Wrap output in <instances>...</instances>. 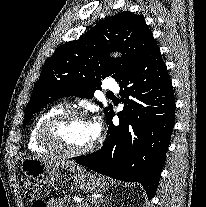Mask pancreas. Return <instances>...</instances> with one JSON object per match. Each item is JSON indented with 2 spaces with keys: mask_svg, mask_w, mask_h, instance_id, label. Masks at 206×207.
<instances>
[{
  "mask_svg": "<svg viewBox=\"0 0 206 207\" xmlns=\"http://www.w3.org/2000/svg\"><path fill=\"white\" fill-rule=\"evenodd\" d=\"M64 200H62V205H63ZM89 203L88 202H81L80 204H78V206H73V207H89Z\"/></svg>",
  "mask_w": 206,
  "mask_h": 207,
  "instance_id": "obj_1",
  "label": "pancreas"
}]
</instances>
